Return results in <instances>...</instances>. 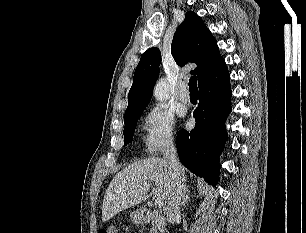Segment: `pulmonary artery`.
<instances>
[{"instance_id": "e3ab8cb5", "label": "pulmonary artery", "mask_w": 306, "mask_h": 233, "mask_svg": "<svg viewBox=\"0 0 306 233\" xmlns=\"http://www.w3.org/2000/svg\"><path fill=\"white\" fill-rule=\"evenodd\" d=\"M178 98L181 102L183 103H187L190 100V95L187 91V85L186 83H184L182 85V88L180 89L179 93H178Z\"/></svg>"}]
</instances>
